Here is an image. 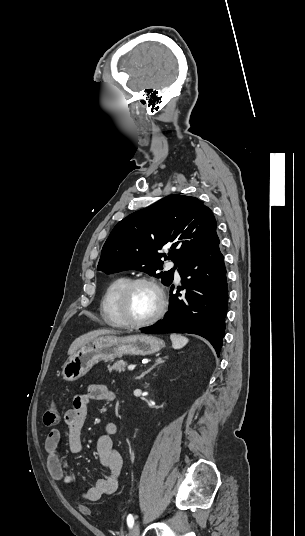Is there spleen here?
Instances as JSON below:
<instances>
[{"label":"spleen","instance_id":"obj_1","mask_svg":"<svg viewBox=\"0 0 305 536\" xmlns=\"http://www.w3.org/2000/svg\"><path fill=\"white\" fill-rule=\"evenodd\" d=\"M170 338L172 342V348H174V350H180V348H184V346H186V344H188L189 342L188 338H185V336H177V334H172Z\"/></svg>","mask_w":305,"mask_h":536}]
</instances>
